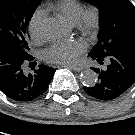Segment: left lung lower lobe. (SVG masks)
Segmentation results:
<instances>
[{
	"instance_id": "1",
	"label": "left lung lower lobe",
	"mask_w": 135,
	"mask_h": 135,
	"mask_svg": "<svg viewBox=\"0 0 135 135\" xmlns=\"http://www.w3.org/2000/svg\"><path fill=\"white\" fill-rule=\"evenodd\" d=\"M90 56V55H89ZM98 63L107 61L104 70L93 68L98 73V83L84 87L86 93L99 100H113L121 96L135 82V51H115L106 57L91 56Z\"/></svg>"
}]
</instances>
